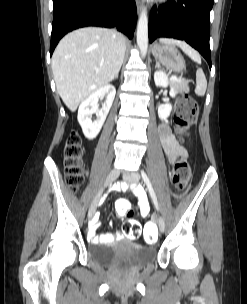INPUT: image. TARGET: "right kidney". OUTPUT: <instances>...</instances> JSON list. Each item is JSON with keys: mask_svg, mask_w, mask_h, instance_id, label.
<instances>
[{"mask_svg": "<svg viewBox=\"0 0 247 304\" xmlns=\"http://www.w3.org/2000/svg\"><path fill=\"white\" fill-rule=\"evenodd\" d=\"M115 94V87L106 84L91 93L79 106L77 119L87 139L93 140L99 134L112 106ZM103 97H106V100L102 108L98 109V101ZM94 113L97 119L92 121L91 115Z\"/></svg>", "mask_w": 247, "mask_h": 304, "instance_id": "ca27d5eb", "label": "right kidney"}]
</instances>
